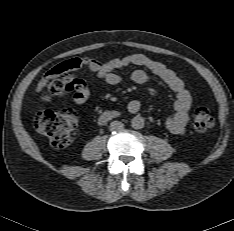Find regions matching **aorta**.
<instances>
[{"label": "aorta", "mask_w": 234, "mask_h": 231, "mask_svg": "<svg viewBox=\"0 0 234 231\" xmlns=\"http://www.w3.org/2000/svg\"><path fill=\"white\" fill-rule=\"evenodd\" d=\"M131 126L134 129H142L144 127V118L140 115H136L131 120Z\"/></svg>", "instance_id": "aorta-1"}]
</instances>
